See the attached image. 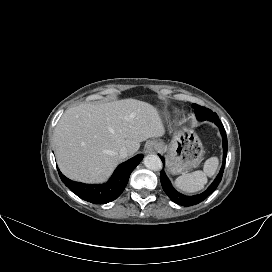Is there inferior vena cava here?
<instances>
[{
    "instance_id": "1",
    "label": "inferior vena cava",
    "mask_w": 272,
    "mask_h": 272,
    "mask_svg": "<svg viewBox=\"0 0 272 272\" xmlns=\"http://www.w3.org/2000/svg\"><path fill=\"white\" fill-rule=\"evenodd\" d=\"M129 155V151L126 147H122L120 150H119V156L124 159L126 158L127 156Z\"/></svg>"
}]
</instances>
